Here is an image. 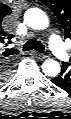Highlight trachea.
Returning a JSON list of instances; mask_svg holds the SVG:
<instances>
[{
  "instance_id": "trachea-1",
  "label": "trachea",
  "mask_w": 71,
  "mask_h": 119,
  "mask_svg": "<svg viewBox=\"0 0 71 119\" xmlns=\"http://www.w3.org/2000/svg\"><path fill=\"white\" fill-rule=\"evenodd\" d=\"M35 49L36 51H39L40 53L44 50V45L41 42H37L35 40H30L24 45V50H32Z\"/></svg>"
}]
</instances>
